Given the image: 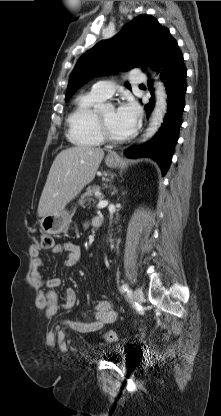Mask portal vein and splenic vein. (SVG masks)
Wrapping results in <instances>:
<instances>
[{
	"mask_svg": "<svg viewBox=\"0 0 221 416\" xmlns=\"http://www.w3.org/2000/svg\"><path fill=\"white\" fill-rule=\"evenodd\" d=\"M99 192H96V195H99ZM108 205V201L107 200H100L99 203L97 204L98 208H104Z\"/></svg>",
	"mask_w": 221,
	"mask_h": 416,
	"instance_id": "obj_1",
	"label": "portal vein and splenic vein"
}]
</instances>
